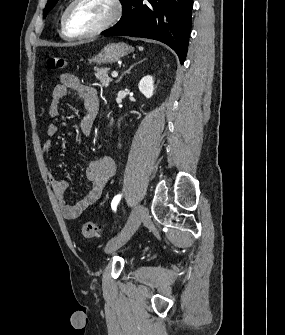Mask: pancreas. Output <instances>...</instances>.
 <instances>
[{
    "instance_id": "pancreas-1",
    "label": "pancreas",
    "mask_w": 285,
    "mask_h": 335,
    "mask_svg": "<svg viewBox=\"0 0 285 335\" xmlns=\"http://www.w3.org/2000/svg\"><path fill=\"white\" fill-rule=\"evenodd\" d=\"M96 74V78L100 80V84L104 86V88H107L109 86V82H112V78H109V70L110 68H94Z\"/></svg>"
}]
</instances>
